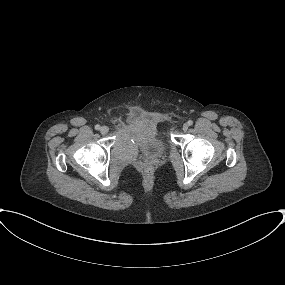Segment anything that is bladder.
<instances>
[{
	"label": "bladder",
	"instance_id": "31cf9c89",
	"mask_svg": "<svg viewBox=\"0 0 285 285\" xmlns=\"http://www.w3.org/2000/svg\"><path fill=\"white\" fill-rule=\"evenodd\" d=\"M141 122L139 114L132 117V125H138ZM168 142L163 130L158 126H152L146 130L145 150L153 155L161 154L167 148Z\"/></svg>",
	"mask_w": 285,
	"mask_h": 285
}]
</instances>
